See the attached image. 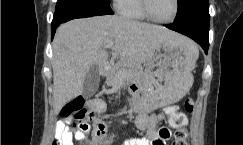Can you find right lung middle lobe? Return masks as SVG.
Returning <instances> with one entry per match:
<instances>
[{
  "mask_svg": "<svg viewBox=\"0 0 243 145\" xmlns=\"http://www.w3.org/2000/svg\"><path fill=\"white\" fill-rule=\"evenodd\" d=\"M102 2L108 3L109 4V0H100Z\"/></svg>",
  "mask_w": 243,
  "mask_h": 145,
  "instance_id": "1",
  "label": "right lung middle lobe"
}]
</instances>
